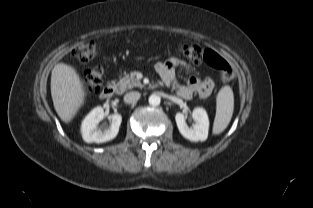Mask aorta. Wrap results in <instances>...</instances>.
Returning <instances> with one entry per match:
<instances>
[{
	"label": "aorta",
	"instance_id": "762f6f07",
	"mask_svg": "<svg viewBox=\"0 0 313 208\" xmlns=\"http://www.w3.org/2000/svg\"><path fill=\"white\" fill-rule=\"evenodd\" d=\"M149 104L152 105V106H158L160 104V101H161V98L156 95V94H152L150 97H149Z\"/></svg>",
	"mask_w": 313,
	"mask_h": 208
}]
</instances>
